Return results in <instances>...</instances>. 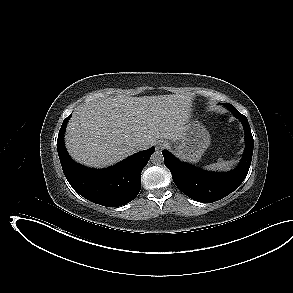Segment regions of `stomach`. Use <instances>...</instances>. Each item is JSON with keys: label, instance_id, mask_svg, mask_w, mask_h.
<instances>
[{"label": "stomach", "instance_id": "stomach-1", "mask_svg": "<svg viewBox=\"0 0 293 293\" xmlns=\"http://www.w3.org/2000/svg\"><path fill=\"white\" fill-rule=\"evenodd\" d=\"M210 145V135L198 121L186 125L183 137L175 145V154L182 160L196 163Z\"/></svg>", "mask_w": 293, "mask_h": 293}]
</instances>
